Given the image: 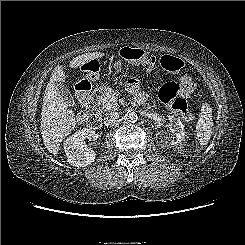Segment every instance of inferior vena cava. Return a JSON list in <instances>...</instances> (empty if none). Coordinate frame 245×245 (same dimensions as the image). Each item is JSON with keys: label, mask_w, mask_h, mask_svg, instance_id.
Instances as JSON below:
<instances>
[{"label": "inferior vena cava", "mask_w": 245, "mask_h": 245, "mask_svg": "<svg viewBox=\"0 0 245 245\" xmlns=\"http://www.w3.org/2000/svg\"><path fill=\"white\" fill-rule=\"evenodd\" d=\"M119 114L117 112L108 113L104 118V125L106 126H116L118 125Z\"/></svg>", "instance_id": "obj_1"}]
</instances>
